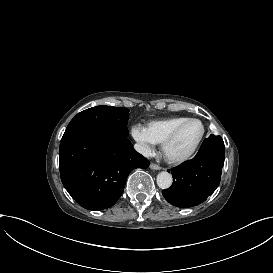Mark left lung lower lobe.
I'll use <instances>...</instances> for the list:
<instances>
[{
    "mask_svg": "<svg viewBox=\"0 0 273 273\" xmlns=\"http://www.w3.org/2000/svg\"><path fill=\"white\" fill-rule=\"evenodd\" d=\"M225 147L221 136L204 139L196 156L171 170L173 183L162 191L176 207L199 205L218 187L224 165Z\"/></svg>",
    "mask_w": 273,
    "mask_h": 273,
    "instance_id": "0a47b994",
    "label": "left lung lower lobe"
}]
</instances>
